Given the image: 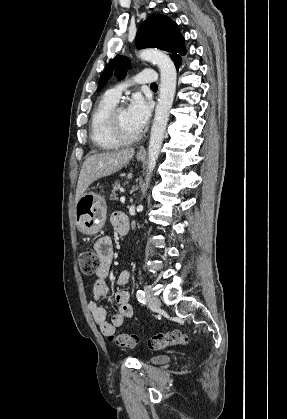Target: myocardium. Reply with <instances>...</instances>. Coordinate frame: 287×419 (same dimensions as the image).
<instances>
[{
  "instance_id": "obj_1",
  "label": "myocardium",
  "mask_w": 287,
  "mask_h": 419,
  "mask_svg": "<svg viewBox=\"0 0 287 419\" xmlns=\"http://www.w3.org/2000/svg\"><path fill=\"white\" fill-rule=\"evenodd\" d=\"M122 105H116L109 113L107 118V126L110 134L121 144H128L136 142L140 139V133L136 135L125 134L119 123L118 112L122 108Z\"/></svg>"
}]
</instances>
